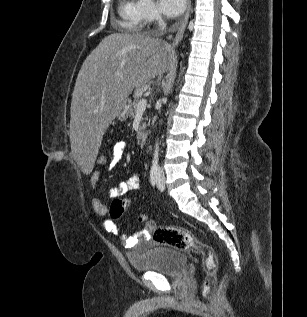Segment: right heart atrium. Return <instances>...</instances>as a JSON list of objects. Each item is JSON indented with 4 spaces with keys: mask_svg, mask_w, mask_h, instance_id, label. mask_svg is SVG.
Wrapping results in <instances>:
<instances>
[{
    "mask_svg": "<svg viewBox=\"0 0 307 317\" xmlns=\"http://www.w3.org/2000/svg\"><path fill=\"white\" fill-rule=\"evenodd\" d=\"M138 13L144 23H154L161 20V16L152 0H139Z\"/></svg>",
    "mask_w": 307,
    "mask_h": 317,
    "instance_id": "obj_1",
    "label": "right heart atrium"
}]
</instances>
